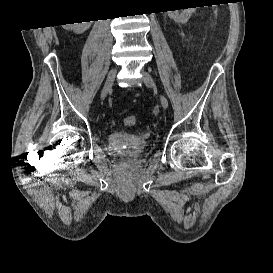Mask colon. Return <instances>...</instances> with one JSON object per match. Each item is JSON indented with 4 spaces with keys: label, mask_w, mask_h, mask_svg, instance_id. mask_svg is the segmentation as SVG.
Segmentation results:
<instances>
[{
    "label": "colon",
    "mask_w": 273,
    "mask_h": 273,
    "mask_svg": "<svg viewBox=\"0 0 273 273\" xmlns=\"http://www.w3.org/2000/svg\"><path fill=\"white\" fill-rule=\"evenodd\" d=\"M136 123H137V119L134 115H129V116L125 117V119H124V124L126 126H129V127L135 126Z\"/></svg>",
    "instance_id": "5ec220e1"
}]
</instances>
